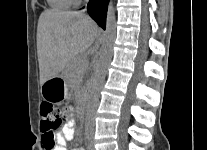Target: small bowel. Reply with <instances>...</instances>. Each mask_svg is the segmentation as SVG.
I'll use <instances>...</instances> for the list:
<instances>
[{
	"instance_id": "1",
	"label": "small bowel",
	"mask_w": 207,
	"mask_h": 150,
	"mask_svg": "<svg viewBox=\"0 0 207 150\" xmlns=\"http://www.w3.org/2000/svg\"><path fill=\"white\" fill-rule=\"evenodd\" d=\"M76 122L74 119L69 120L62 128L61 132L54 135L55 146L53 150H67L66 144L74 138ZM42 137V146H43ZM78 150H87V145H79Z\"/></svg>"
}]
</instances>
